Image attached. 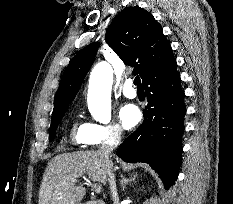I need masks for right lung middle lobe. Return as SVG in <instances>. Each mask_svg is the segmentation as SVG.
<instances>
[{
	"mask_svg": "<svg viewBox=\"0 0 233 204\" xmlns=\"http://www.w3.org/2000/svg\"><path fill=\"white\" fill-rule=\"evenodd\" d=\"M64 113L59 115L58 117H55V118L52 119L50 130H49V136H50L49 140L50 141L54 140L57 126L59 125L60 120L62 119Z\"/></svg>",
	"mask_w": 233,
	"mask_h": 204,
	"instance_id": "obj_1",
	"label": "right lung middle lobe"
}]
</instances>
